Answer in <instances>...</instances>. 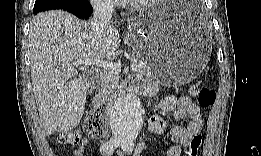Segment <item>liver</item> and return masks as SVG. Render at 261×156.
Instances as JSON below:
<instances>
[{
  "instance_id": "1",
  "label": "liver",
  "mask_w": 261,
  "mask_h": 156,
  "mask_svg": "<svg viewBox=\"0 0 261 156\" xmlns=\"http://www.w3.org/2000/svg\"><path fill=\"white\" fill-rule=\"evenodd\" d=\"M120 36L113 24L97 33L90 22L74 15L51 10L33 17L28 36L33 92L47 136L54 130L73 129L84 111L82 94L67 86V81L78 72L74 62L81 58L110 57L120 46ZM75 98L74 118L70 124L57 114L67 95Z\"/></svg>"
}]
</instances>
